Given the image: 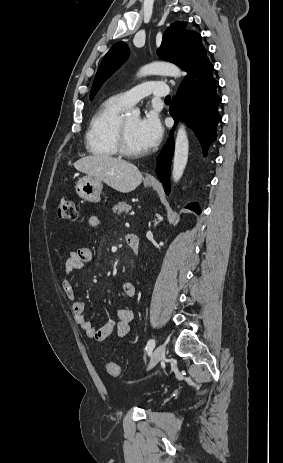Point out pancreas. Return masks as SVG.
Returning <instances> with one entry per match:
<instances>
[{
	"label": "pancreas",
	"mask_w": 283,
	"mask_h": 463,
	"mask_svg": "<svg viewBox=\"0 0 283 463\" xmlns=\"http://www.w3.org/2000/svg\"><path fill=\"white\" fill-rule=\"evenodd\" d=\"M132 209L131 205H129L126 201L119 202L115 205L112 210L114 213L121 215V213H128Z\"/></svg>",
	"instance_id": "pancreas-1"
}]
</instances>
